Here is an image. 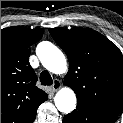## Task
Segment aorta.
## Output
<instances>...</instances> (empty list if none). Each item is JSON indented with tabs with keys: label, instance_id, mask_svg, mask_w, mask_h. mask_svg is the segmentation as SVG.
Returning <instances> with one entry per match:
<instances>
[{
	"label": "aorta",
	"instance_id": "762f6f07",
	"mask_svg": "<svg viewBox=\"0 0 123 123\" xmlns=\"http://www.w3.org/2000/svg\"><path fill=\"white\" fill-rule=\"evenodd\" d=\"M37 54L42 65L54 74L67 72V62L62 51L54 44L44 41L37 47ZM57 109L65 114L72 112L76 107V95L71 88L60 89L54 98Z\"/></svg>",
	"mask_w": 123,
	"mask_h": 123
}]
</instances>
